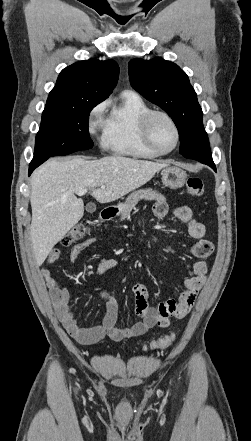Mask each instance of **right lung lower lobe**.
Listing matches in <instances>:
<instances>
[{"instance_id":"1","label":"right lung lower lobe","mask_w":251,"mask_h":441,"mask_svg":"<svg viewBox=\"0 0 251 441\" xmlns=\"http://www.w3.org/2000/svg\"><path fill=\"white\" fill-rule=\"evenodd\" d=\"M48 158L46 157H35L33 158V160L30 163L29 166V175L32 173V171L38 167L40 164H42L43 162H45Z\"/></svg>"}]
</instances>
